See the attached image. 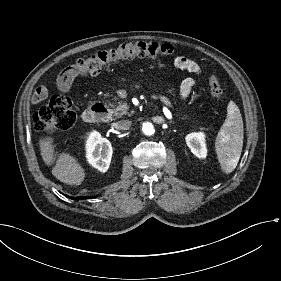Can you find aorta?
Segmentation results:
<instances>
[{
    "mask_svg": "<svg viewBox=\"0 0 281 281\" xmlns=\"http://www.w3.org/2000/svg\"><path fill=\"white\" fill-rule=\"evenodd\" d=\"M142 130L145 135H152L154 133V127L149 122L143 124Z\"/></svg>",
    "mask_w": 281,
    "mask_h": 281,
    "instance_id": "762f6f07",
    "label": "aorta"
}]
</instances>
